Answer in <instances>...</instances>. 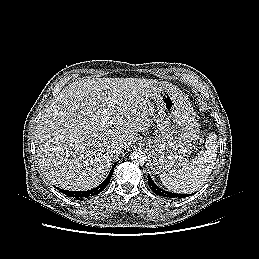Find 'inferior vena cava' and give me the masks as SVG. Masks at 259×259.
Here are the masks:
<instances>
[{
    "mask_svg": "<svg viewBox=\"0 0 259 259\" xmlns=\"http://www.w3.org/2000/svg\"><path fill=\"white\" fill-rule=\"evenodd\" d=\"M111 150L113 151V152H117L120 148H121V144H119V143H113V144H111Z\"/></svg>",
    "mask_w": 259,
    "mask_h": 259,
    "instance_id": "obj_1",
    "label": "inferior vena cava"
}]
</instances>
